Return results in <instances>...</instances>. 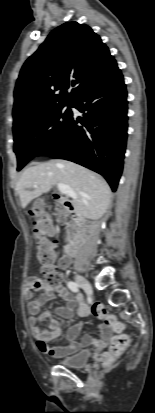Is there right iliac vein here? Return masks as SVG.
<instances>
[{
    "label": "right iliac vein",
    "mask_w": 155,
    "mask_h": 413,
    "mask_svg": "<svg viewBox=\"0 0 155 413\" xmlns=\"http://www.w3.org/2000/svg\"><path fill=\"white\" fill-rule=\"evenodd\" d=\"M75 280L87 293L91 294L93 292L91 284L84 277L76 275Z\"/></svg>",
    "instance_id": "right-iliac-vein-1"
}]
</instances>
